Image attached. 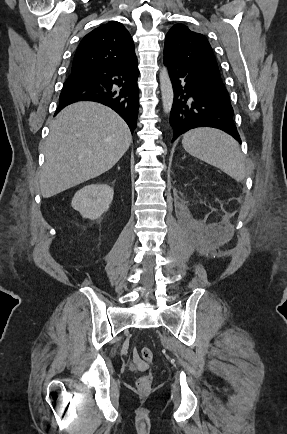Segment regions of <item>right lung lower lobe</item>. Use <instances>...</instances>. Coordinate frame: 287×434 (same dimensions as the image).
<instances>
[{"mask_svg": "<svg viewBox=\"0 0 287 434\" xmlns=\"http://www.w3.org/2000/svg\"><path fill=\"white\" fill-rule=\"evenodd\" d=\"M138 75L137 61L125 66L104 67L71 74L64 82L55 114L77 101L100 102L116 111L133 132L137 126L139 108Z\"/></svg>", "mask_w": 287, "mask_h": 434, "instance_id": "1", "label": "right lung lower lobe"}]
</instances>
